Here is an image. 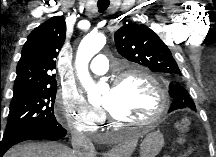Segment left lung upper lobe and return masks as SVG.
Here are the masks:
<instances>
[{"instance_id":"1","label":"left lung upper lobe","mask_w":216,"mask_h":157,"mask_svg":"<svg viewBox=\"0 0 216 157\" xmlns=\"http://www.w3.org/2000/svg\"><path fill=\"white\" fill-rule=\"evenodd\" d=\"M117 51L127 60L138 63L155 72L167 73L179 77V66L172 57L170 49L159 36L144 24L129 23L114 33ZM169 94L173 102L196 110L187 91L177 84L169 85Z\"/></svg>"}]
</instances>
